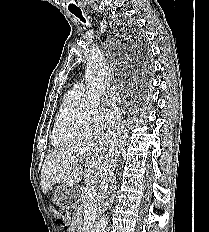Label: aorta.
<instances>
[{
  "instance_id": "obj_1",
  "label": "aorta",
  "mask_w": 209,
  "mask_h": 232,
  "mask_svg": "<svg viewBox=\"0 0 209 232\" xmlns=\"http://www.w3.org/2000/svg\"><path fill=\"white\" fill-rule=\"evenodd\" d=\"M105 61L100 51H93L88 58L85 69L87 83L86 97L81 102V107L94 112L100 105V99L105 91L104 85ZM108 217L102 216L97 222L95 232H106Z\"/></svg>"
}]
</instances>
